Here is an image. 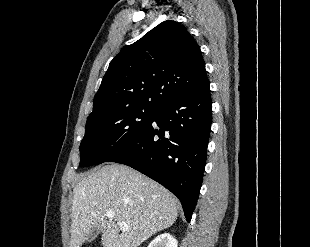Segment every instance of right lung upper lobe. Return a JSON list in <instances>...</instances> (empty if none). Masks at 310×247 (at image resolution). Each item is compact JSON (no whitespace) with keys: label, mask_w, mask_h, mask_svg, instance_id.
I'll use <instances>...</instances> for the list:
<instances>
[{"label":"right lung upper lobe","mask_w":310,"mask_h":247,"mask_svg":"<svg viewBox=\"0 0 310 247\" xmlns=\"http://www.w3.org/2000/svg\"><path fill=\"white\" fill-rule=\"evenodd\" d=\"M207 81L196 41L180 23L164 21L110 62L87 120L127 108L157 110Z\"/></svg>","instance_id":"obj_1"}]
</instances>
